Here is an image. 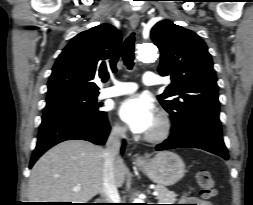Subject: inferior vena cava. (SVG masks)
<instances>
[{
    "instance_id": "1",
    "label": "inferior vena cava",
    "mask_w": 253,
    "mask_h": 205,
    "mask_svg": "<svg viewBox=\"0 0 253 205\" xmlns=\"http://www.w3.org/2000/svg\"><path fill=\"white\" fill-rule=\"evenodd\" d=\"M126 129L124 127H114L107 139L106 148L103 151V185L101 197L103 203H118L119 194L115 183L114 164L119 157L121 139L125 137Z\"/></svg>"
}]
</instances>
